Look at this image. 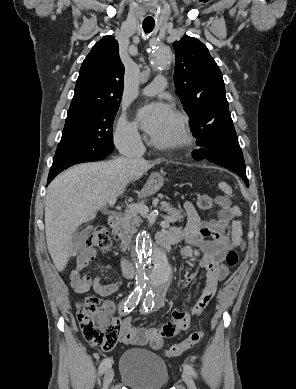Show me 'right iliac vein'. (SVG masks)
Listing matches in <instances>:
<instances>
[{
    "label": "right iliac vein",
    "instance_id": "63e3f726",
    "mask_svg": "<svg viewBox=\"0 0 296 389\" xmlns=\"http://www.w3.org/2000/svg\"><path fill=\"white\" fill-rule=\"evenodd\" d=\"M114 377V371L112 368H108L105 371L104 378H103V389H107L109 385L111 384Z\"/></svg>",
    "mask_w": 296,
    "mask_h": 389
}]
</instances>
